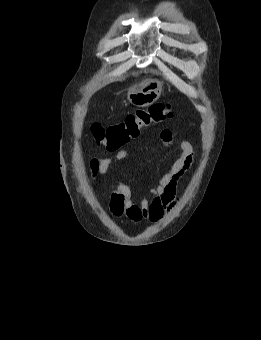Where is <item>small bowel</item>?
Listing matches in <instances>:
<instances>
[{"label": "small bowel", "mask_w": 261, "mask_h": 340, "mask_svg": "<svg viewBox=\"0 0 261 340\" xmlns=\"http://www.w3.org/2000/svg\"><path fill=\"white\" fill-rule=\"evenodd\" d=\"M160 140L165 146H170L173 141L172 132L169 129L161 130ZM180 149L181 155L173 162L169 171L161 176L157 185L150 190L149 197L137 202L129 185H118L112 191L109 200L111 215L115 218H125L133 223L145 220L158 222L175 203L178 185L194 161L195 148L190 142L182 141ZM128 157V151L121 149L112 157L92 158L89 162L91 180L101 186L103 177L110 167L123 165Z\"/></svg>", "instance_id": "small-bowel-1"}]
</instances>
